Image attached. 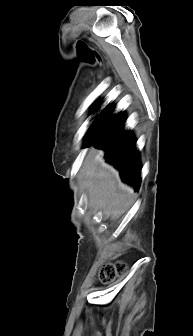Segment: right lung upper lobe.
Masks as SVG:
<instances>
[{"mask_svg":"<svg viewBox=\"0 0 193 336\" xmlns=\"http://www.w3.org/2000/svg\"><path fill=\"white\" fill-rule=\"evenodd\" d=\"M107 110H109V109H104L98 116H97V118L96 119H98L105 111H107ZM95 119V120H96Z\"/></svg>","mask_w":193,"mask_h":336,"instance_id":"right-lung-upper-lobe-1","label":"right lung upper lobe"}]
</instances>
